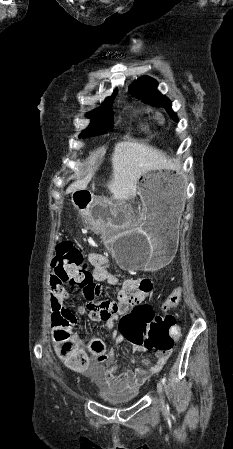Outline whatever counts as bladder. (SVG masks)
Wrapping results in <instances>:
<instances>
[{"mask_svg":"<svg viewBox=\"0 0 233 449\" xmlns=\"http://www.w3.org/2000/svg\"><path fill=\"white\" fill-rule=\"evenodd\" d=\"M98 394L107 403L114 406H122L133 402L138 394L137 388L113 389L105 383L98 381Z\"/></svg>","mask_w":233,"mask_h":449,"instance_id":"obj_1","label":"bladder"}]
</instances>
